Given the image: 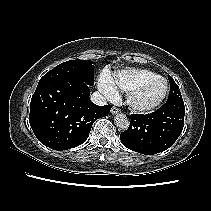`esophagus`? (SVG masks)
<instances>
[{"label":"esophagus","mask_w":211,"mask_h":211,"mask_svg":"<svg viewBox=\"0 0 211 211\" xmlns=\"http://www.w3.org/2000/svg\"><path fill=\"white\" fill-rule=\"evenodd\" d=\"M120 112V110L117 108V107H112L111 108V113L112 114H117V113H119Z\"/></svg>","instance_id":"1"}]
</instances>
